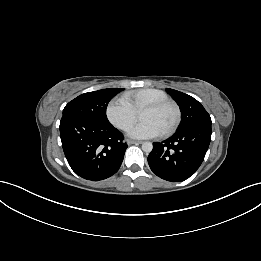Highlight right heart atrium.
I'll use <instances>...</instances> for the list:
<instances>
[{"label":"right heart atrium","mask_w":261,"mask_h":261,"mask_svg":"<svg viewBox=\"0 0 261 261\" xmlns=\"http://www.w3.org/2000/svg\"><path fill=\"white\" fill-rule=\"evenodd\" d=\"M106 116L114 127L126 131L136 120L137 111L124 96H117L108 103Z\"/></svg>","instance_id":"1"}]
</instances>
